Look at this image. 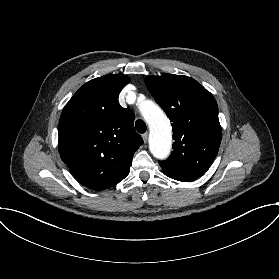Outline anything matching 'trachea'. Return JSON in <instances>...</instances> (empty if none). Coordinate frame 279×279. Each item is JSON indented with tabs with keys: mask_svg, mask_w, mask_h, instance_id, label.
<instances>
[{
	"mask_svg": "<svg viewBox=\"0 0 279 279\" xmlns=\"http://www.w3.org/2000/svg\"><path fill=\"white\" fill-rule=\"evenodd\" d=\"M135 127L139 133H144L146 131V124L143 120H137L135 122Z\"/></svg>",
	"mask_w": 279,
	"mask_h": 279,
	"instance_id": "trachea-1",
	"label": "trachea"
}]
</instances>
